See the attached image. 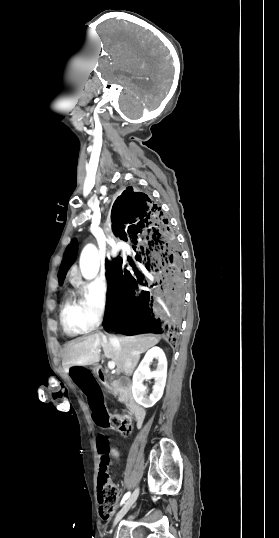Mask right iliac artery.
Masks as SVG:
<instances>
[{
    "mask_svg": "<svg viewBox=\"0 0 279 538\" xmlns=\"http://www.w3.org/2000/svg\"><path fill=\"white\" fill-rule=\"evenodd\" d=\"M129 496H130V492H127V493L124 495V497H123V499H122V501H121V505H122L128 498H129Z\"/></svg>",
    "mask_w": 279,
    "mask_h": 538,
    "instance_id": "obj_1",
    "label": "right iliac artery"
}]
</instances>
